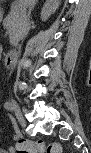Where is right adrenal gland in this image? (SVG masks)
Returning a JSON list of instances; mask_svg holds the SVG:
<instances>
[{
	"label": "right adrenal gland",
	"mask_w": 91,
	"mask_h": 153,
	"mask_svg": "<svg viewBox=\"0 0 91 153\" xmlns=\"http://www.w3.org/2000/svg\"><path fill=\"white\" fill-rule=\"evenodd\" d=\"M37 2H38V0H36L35 3L33 4V6L30 8L29 15L31 14V11L33 10V8L35 7V5H36Z\"/></svg>",
	"instance_id": "2a0ac1e0"
}]
</instances>
